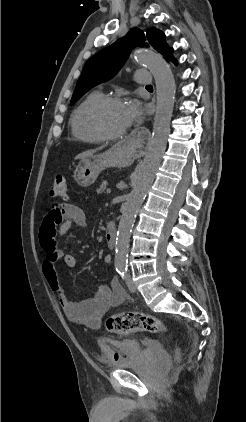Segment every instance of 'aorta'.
<instances>
[{
	"label": "aorta",
	"instance_id": "obj_1",
	"mask_svg": "<svg viewBox=\"0 0 246 422\" xmlns=\"http://www.w3.org/2000/svg\"><path fill=\"white\" fill-rule=\"evenodd\" d=\"M134 57L139 63L145 65L155 78L157 106L152 139L143 162L135 172L133 188L118 226L115 267L119 269L126 268L130 235L136 214L153 183L167 145L176 93L171 68L161 56L151 51L137 50Z\"/></svg>",
	"mask_w": 246,
	"mask_h": 422
}]
</instances>
